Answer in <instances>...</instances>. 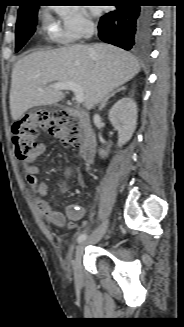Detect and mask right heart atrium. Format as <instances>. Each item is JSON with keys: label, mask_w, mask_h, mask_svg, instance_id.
Returning a JSON list of instances; mask_svg holds the SVG:
<instances>
[{"label": "right heart atrium", "mask_w": 184, "mask_h": 327, "mask_svg": "<svg viewBox=\"0 0 184 327\" xmlns=\"http://www.w3.org/2000/svg\"><path fill=\"white\" fill-rule=\"evenodd\" d=\"M47 29L52 40L69 45L90 36L94 24L82 7L70 5L59 8L56 17H48Z\"/></svg>", "instance_id": "obj_1"}]
</instances>
